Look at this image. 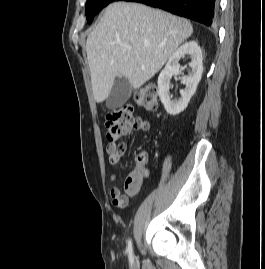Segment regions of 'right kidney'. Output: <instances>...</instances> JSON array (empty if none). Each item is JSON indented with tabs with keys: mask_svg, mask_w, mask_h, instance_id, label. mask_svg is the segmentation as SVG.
<instances>
[{
	"mask_svg": "<svg viewBox=\"0 0 265 269\" xmlns=\"http://www.w3.org/2000/svg\"><path fill=\"white\" fill-rule=\"evenodd\" d=\"M185 55L191 57V62L189 63L191 72L189 73V76L181 77V82L185 85V89L180 91L181 98L178 100H171L169 92L170 80L173 75L180 74L179 60ZM202 60L201 48L195 41L184 43L169 58L165 68L158 77L159 97L168 114L173 116L178 115L188 106L202 77Z\"/></svg>",
	"mask_w": 265,
	"mask_h": 269,
	"instance_id": "1",
	"label": "right kidney"
}]
</instances>
